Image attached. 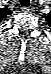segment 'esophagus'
Here are the masks:
<instances>
[{
	"mask_svg": "<svg viewBox=\"0 0 51 74\" xmlns=\"http://www.w3.org/2000/svg\"><path fill=\"white\" fill-rule=\"evenodd\" d=\"M29 10H30V7H23L24 12L29 11Z\"/></svg>",
	"mask_w": 51,
	"mask_h": 74,
	"instance_id": "obj_1",
	"label": "esophagus"
}]
</instances>
